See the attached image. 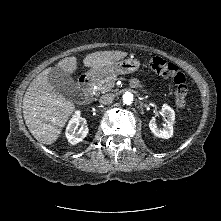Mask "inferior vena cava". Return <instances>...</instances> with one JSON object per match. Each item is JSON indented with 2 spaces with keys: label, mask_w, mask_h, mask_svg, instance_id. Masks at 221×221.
Wrapping results in <instances>:
<instances>
[{
  "label": "inferior vena cava",
  "mask_w": 221,
  "mask_h": 221,
  "mask_svg": "<svg viewBox=\"0 0 221 221\" xmlns=\"http://www.w3.org/2000/svg\"><path fill=\"white\" fill-rule=\"evenodd\" d=\"M113 100H114V95L113 94H105V95L100 97L99 103L101 105H106V104L111 103Z\"/></svg>",
  "instance_id": "602c4592"
}]
</instances>
